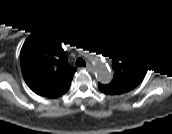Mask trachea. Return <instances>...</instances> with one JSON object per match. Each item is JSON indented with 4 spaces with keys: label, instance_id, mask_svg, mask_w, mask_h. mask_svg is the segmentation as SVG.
I'll list each match as a JSON object with an SVG mask.
<instances>
[{
    "label": "trachea",
    "instance_id": "1",
    "mask_svg": "<svg viewBox=\"0 0 172 134\" xmlns=\"http://www.w3.org/2000/svg\"><path fill=\"white\" fill-rule=\"evenodd\" d=\"M84 64H85L84 60H82V59H80V58H78V59L76 60V65H77V66H81V65H84Z\"/></svg>",
    "mask_w": 172,
    "mask_h": 134
}]
</instances>
